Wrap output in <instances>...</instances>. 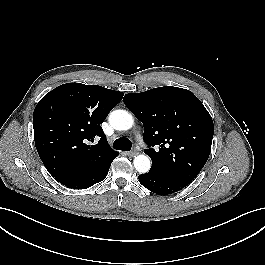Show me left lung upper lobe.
Segmentation results:
<instances>
[{"label": "left lung upper lobe", "instance_id": "5c2ea615", "mask_svg": "<svg viewBox=\"0 0 265 265\" xmlns=\"http://www.w3.org/2000/svg\"><path fill=\"white\" fill-rule=\"evenodd\" d=\"M123 101L143 123V138L150 147L144 153L152 159L151 168L192 182L209 157L214 134L201 101L191 91L172 86L129 93Z\"/></svg>", "mask_w": 265, "mask_h": 265}]
</instances>
